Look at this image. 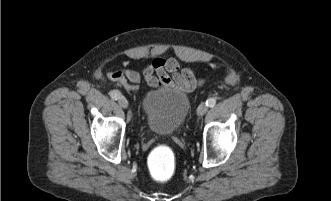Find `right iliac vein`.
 Returning a JSON list of instances; mask_svg holds the SVG:
<instances>
[{
  "mask_svg": "<svg viewBox=\"0 0 331 201\" xmlns=\"http://www.w3.org/2000/svg\"><path fill=\"white\" fill-rule=\"evenodd\" d=\"M118 103L124 109H126L128 107V101H127V99L124 96H120L119 97Z\"/></svg>",
  "mask_w": 331,
  "mask_h": 201,
  "instance_id": "obj_1",
  "label": "right iliac vein"
}]
</instances>
